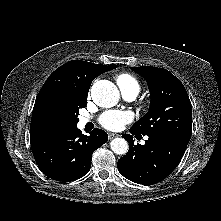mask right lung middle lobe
Listing matches in <instances>:
<instances>
[{"mask_svg":"<svg viewBox=\"0 0 221 221\" xmlns=\"http://www.w3.org/2000/svg\"><path fill=\"white\" fill-rule=\"evenodd\" d=\"M86 103V101L73 102L59 107L56 109L54 115L56 122L60 125H63L66 129L69 127L77 126L79 121V109L84 108Z\"/></svg>","mask_w":221,"mask_h":221,"instance_id":"dd1d6c3e","label":"right lung middle lobe"}]
</instances>
